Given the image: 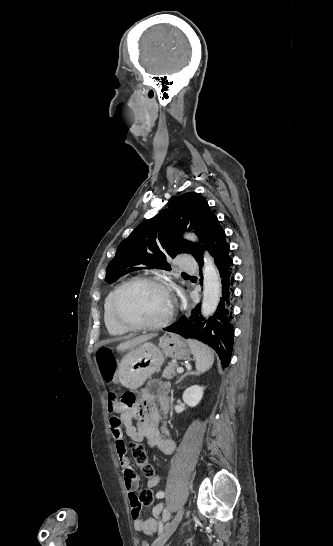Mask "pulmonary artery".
Instances as JSON below:
<instances>
[{
	"label": "pulmonary artery",
	"mask_w": 333,
	"mask_h": 546,
	"mask_svg": "<svg viewBox=\"0 0 333 546\" xmlns=\"http://www.w3.org/2000/svg\"><path fill=\"white\" fill-rule=\"evenodd\" d=\"M179 266L182 270L190 271L194 269L195 262L191 257L184 255L179 259Z\"/></svg>",
	"instance_id": "e3ab8cb5"
}]
</instances>
